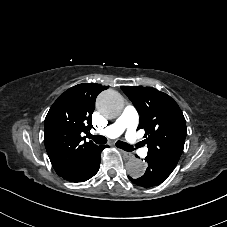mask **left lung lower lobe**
<instances>
[{"instance_id": "0a47b994", "label": "left lung lower lobe", "mask_w": 227, "mask_h": 227, "mask_svg": "<svg viewBox=\"0 0 227 227\" xmlns=\"http://www.w3.org/2000/svg\"><path fill=\"white\" fill-rule=\"evenodd\" d=\"M145 161L148 162V168L145 174L138 179H133L129 177V179L138 186L142 187L156 186L162 183L173 171L171 167L164 165L155 159L146 157Z\"/></svg>"}]
</instances>
